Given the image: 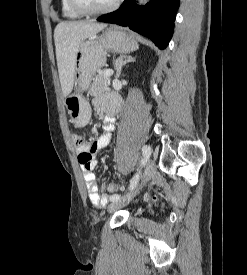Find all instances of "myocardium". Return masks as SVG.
<instances>
[{
  "label": "myocardium",
  "mask_w": 247,
  "mask_h": 275,
  "mask_svg": "<svg viewBox=\"0 0 247 275\" xmlns=\"http://www.w3.org/2000/svg\"><path fill=\"white\" fill-rule=\"evenodd\" d=\"M68 3L70 5V7L80 15L98 16V15H104V14H107V13H110V12L116 10L120 5L121 0H114L109 6H107L105 8L97 9V10L86 9V8L82 7L81 5H79L76 0H68Z\"/></svg>",
  "instance_id": "f54148a6"
}]
</instances>
